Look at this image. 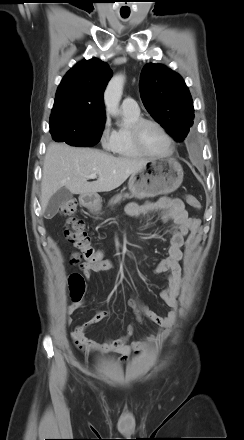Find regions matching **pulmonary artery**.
Segmentation results:
<instances>
[{
	"label": "pulmonary artery",
	"instance_id": "1",
	"mask_svg": "<svg viewBox=\"0 0 244 440\" xmlns=\"http://www.w3.org/2000/svg\"><path fill=\"white\" fill-rule=\"evenodd\" d=\"M121 108L126 113L136 114L140 112L137 102L131 97H126L122 101Z\"/></svg>",
	"mask_w": 244,
	"mask_h": 440
}]
</instances>
